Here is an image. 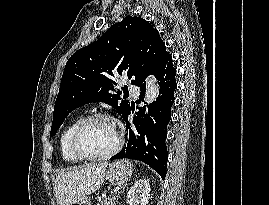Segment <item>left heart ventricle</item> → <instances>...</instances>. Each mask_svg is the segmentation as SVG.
Listing matches in <instances>:
<instances>
[{
    "label": "left heart ventricle",
    "mask_w": 269,
    "mask_h": 205,
    "mask_svg": "<svg viewBox=\"0 0 269 205\" xmlns=\"http://www.w3.org/2000/svg\"><path fill=\"white\" fill-rule=\"evenodd\" d=\"M115 143L114 126L104 120H98L88 125L80 137V147L89 155L104 154L111 150Z\"/></svg>",
    "instance_id": "1"
}]
</instances>
